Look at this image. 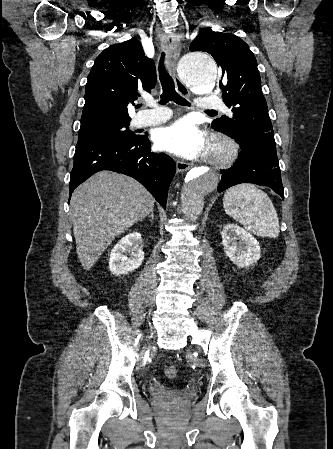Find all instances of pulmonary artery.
Wrapping results in <instances>:
<instances>
[{
	"label": "pulmonary artery",
	"instance_id": "pulmonary-artery-1",
	"mask_svg": "<svg viewBox=\"0 0 333 449\" xmlns=\"http://www.w3.org/2000/svg\"><path fill=\"white\" fill-rule=\"evenodd\" d=\"M199 110L207 111L222 106L221 99L214 94H204L195 103ZM171 113L166 108H156L142 111L135 120L136 126H149L163 121L170 117Z\"/></svg>",
	"mask_w": 333,
	"mask_h": 449
}]
</instances>
